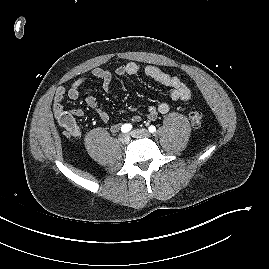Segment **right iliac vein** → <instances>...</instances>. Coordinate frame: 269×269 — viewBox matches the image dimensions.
Returning <instances> with one entry per match:
<instances>
[{"instance_id": "right-iliac-vein-1", "label": "right iliac vein", "mask_w": 269, "mask_h": 269, "mask_svg": "<svg viewBox=\"0 0 269 269\" xmlns=\"http://www.w3.org/2000/svg\"><path fill=\"white\" fill-rule=\"evenodd\" d=\"M119 141L122 144H127L130 141V136L128 134H121L119 137Z\"/></svg>"}]
</instances>
